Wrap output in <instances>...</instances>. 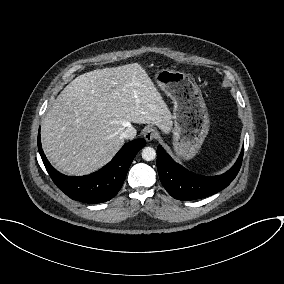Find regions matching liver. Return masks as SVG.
Wrapping results in <instances>:
<instances>
[{"label": "liver", "instance_id": "obj_1", "mask_svg": "<svg viewBox=\"0 0 284 284\" xmlns=\"http://www.w3.org/2000/svg\"><path fill=\"white\" fill-rule=\"evenodd\" d=\"M154 124L168 134L172 115L138 63L79 75L58 95L42 126V146L62 173L82 176L107 164L123 146L121 134Z\"/></svg>", "mask_w": 284, "mask_h": 284}]
</instances>
